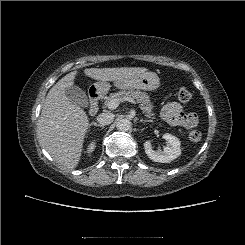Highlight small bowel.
<instances>
[{
	"instance_id": "1",
	"label": "small bowel",
	"mask_w": 245,
	"mask_h": 245,
	"mask_svg": "<svg viewBox=\"0 0 245 245\" xmlns=\"http://www.w3.org/2000/svg\"><path fill=\"white\" fill-rule=\"evenodd\" d=\"M162 117L172 125L190 129L198 124L199 118L196 113H185L178 102H168L162 108Z\"/></svg>"
}]
</instances>
